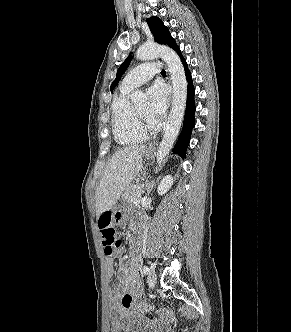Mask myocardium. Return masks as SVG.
Wrapping results in <instances>:
<instances>
[{"instance_id":"1","label":"myocardium","mask_w":291,"mask_h":332,"mask_svg":"<svg viewBox=\"0 0 291 332\" xmlns=\"http://www.w3.org/2000/svg\"><path fill=\"white\" fill-rule=\"evenodd\" d=\"M133 114L136 120V123L141 131L147 133L152 130L151 125L139 114L136 107L133 106Z\"/></svg>"}]
</instances>
